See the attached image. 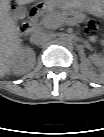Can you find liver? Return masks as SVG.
Instances as JSON below:
<instances>
[{
    "mask_svg": "<svg viewBox=\"0 0 104 137\" xmlns=\"http://www.w3.org/2000/svg\"><path fill=\"white\" fill-rule=\"evenodd\" d=\"M36 0H15L19 5L29 4ZM59 3H72L73 0H57ZM9 1L1 0L0 8V75L3 77L10 68L11 60L21 47L19 29L9 13Z\"/></svg>",
    "mask_w": 104,
    "mask_h": 137,
    "instance_id": "liver-1",
    "label": "liver"
}]
</instances>
